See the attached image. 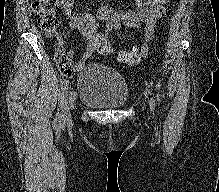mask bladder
<instances>
[{
	"label": "bladder",
	"instance_id": "obj_1",
	"mask_svg": "<svg viewBox=\"0 0 219 192\" xmlns=\"http://www.w3.org/2000/svg\"><path fill=\"white\" fill-rule=\"evenodd\" d=\"M76 97L95 108L115 109L129 97L125 79L115 70L100 64H87L77 74Z\"/></svg>",
	"mask_w": 219,
	"mask_h": 192
}]
</instances>
